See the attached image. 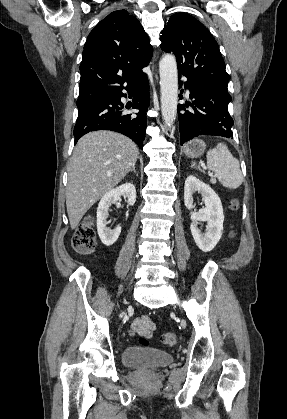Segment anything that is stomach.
<instances>
[{"label":"stomach","mask_w":287,"mask_h":419,"mask_svg":"<svg viewBox=\"0 0 287 419\" xmlns=\"http://www.w3.org/2000/svg\"><path fill=\"white\" fill-rule=\"evenodd\" d=\"M206 148V144L200 139H193L184 146V153L190 158L201 156Z\"/></svg>","instance_id":"stomach-1"}]
</instances>
